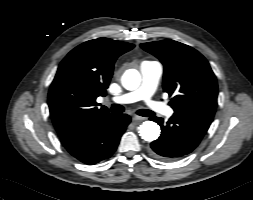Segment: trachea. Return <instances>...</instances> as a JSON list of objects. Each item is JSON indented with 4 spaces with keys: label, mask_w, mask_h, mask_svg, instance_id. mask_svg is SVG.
I'll return each instance as SVG.
<instances>
[{
    "label": "trachea",
    "mask_w": 253,
    "mask_h": 200,
    "mask_svg": "<svg viewBox=\"0 0 253 200\" xmlns=\"http://www.w3.org/2000/svg\"><path fill=\"white\" fill-rule=\"evenodd\" d=\"M110 110L111 112L121 113L124 111V107L119 104H113ZM137 114L143 117H149L154 115V112L147 109H141L137 112Z\"/></svg>",
    "instance_id": "3493384b"
}]
</instances>
